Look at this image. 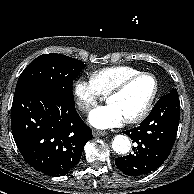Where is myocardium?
Segmentation results:
<instances>
[{
  "mask_svg": "<svg viewBox=\"0 0 194 194\" xmlns=\"http://www.w3.org/2000/svg\"><path fill=\"white\" fill-rule=\"evenodd\" d=\"M141 77H150L154 82V89L144 109L138 115L125 120L129 124L139 123L149 115L159 92V82L157 77L150 72H138L124 78L106 95V101H108L111 97L121 94L131 82Z\"/></svg>",
  "mask_w": 194,
  "mask_h": 194,
  "instance_id": "f54148a6",
  "label": "myocardium"
}]
</instances>
